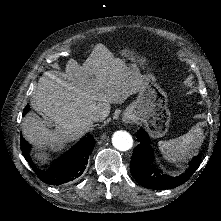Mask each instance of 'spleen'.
<instances>
[{"mask_svg": "<svg viewBox=\"0 0 221 221\" xmlns=\"http://www.w3.org/2000/svg\"><path fill=\"white\" fill-rule=\"evenodd\" d=\"M203 129L195 126L187 134L171 139L169 141H159L158 149L162 155L171 164H181L186 162L191 153L197 150L203 141Z\"/></svg>", "mask_w": 221, "mask_h": 221, "instance_id": "obj_1", "label": "spleen"}]
</instances>
